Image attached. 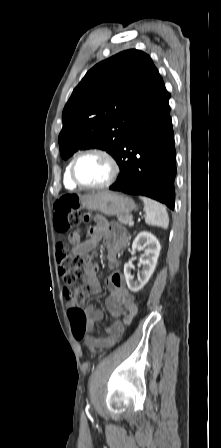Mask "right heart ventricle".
<instances>
[{"label": "right heart ventricle", "instance_id": "obj_1", "mask_svg": "<svg viewBox=\"0 0 221 448\" xmlns=\"http://www.w3.org/2000/svg\"><path fill=\"white\" fill-rule=\"evenodd\" d=\"M73 160H71L68 165L66 166L65 172H64V186L67 189L73 190L75 188H77L78 186H76L70 179V166Z\"/></svg>", "mask_w": 221, "mask_h": 448}]
</instances>
